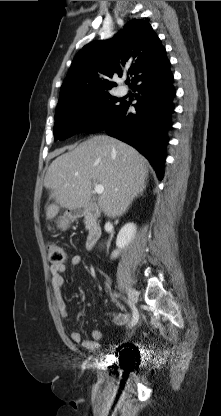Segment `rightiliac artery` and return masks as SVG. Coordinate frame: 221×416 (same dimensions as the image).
<instances>
[{
    "label": "right iliac artery",
    "mask_w": 221,
    "mask_h": 416,
    "mask_svg": "<svg viewBox=\"0 0 221 416\" xmlns=\"http://www.w3.org/2000/svg\"><path fill=\"white\" fill-rule=\"evenodd\" d=\"M127 303L129 304L128 301H127ZM132 310H133V319H132V321L130 323V327L131 326H134L138 322V317H139L138 311L135 308H132Z\"/></svg>",
    "instance_id": "right-iliac-artery-1"
}]
</instances>
